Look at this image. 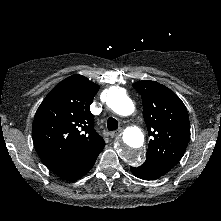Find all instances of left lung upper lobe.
I'll return each instance as SVG.
<instances>
[{
  "instance_id": "5c2ea615",
  "label": "left lung upper lobe",
  "mask_w": 221,
  "mask_h": 221,
  "mask_svg": "<svg viewBox=\"0 0 221 221\" xmlns=\"http://www.w3.org/2000/svg\"><path fill=\"white\" fill-rule=\"evenodd\" d=\"M133 87L142 97L144 120L151 136L145 162L166 174L182 158L190 139L187 109L174 92L158 82L144 80Z\"/></svg>"
}]
</instances>
